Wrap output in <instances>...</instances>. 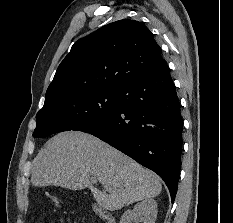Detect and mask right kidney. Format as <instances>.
Here are the masks:
<instances>
[{
	"mask_svg": "<svg viewBox=\"0 0 233 223\" xmlns=\"http://www.w3.org/2000/svg\"><path fill=\"white\" fill-rule=\"evenodd\" d=\"M157 217V201L148 197L134 205V209H127L120 217V223H133L136 219H142L143 223H155Z\"/></svg>",
	"mask_w": 233,
	"mask_h": 223,
	"instance_id": "obj_1",
	"label": "right kidney"
}]
</instances>
